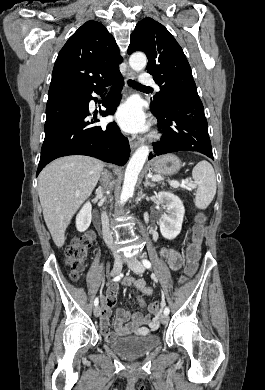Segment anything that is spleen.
Segmentation results:
<instances>
[{
	"label": "spleen",
	"instance_id": "1",
	"mask_svg": "<svg viewBox=\"0 0 265 390\" xmlns=\"http://www.w3.org/2000/svg\"><path fill=\"white\" fill-rule=\"evenodd\" d=\"M192 178L197 184L195 192V206L206 209L216 194V177L212 165L203 160L192 171Z\"/></svg>",
	"mask_w": 265,
	"mask_h": 390
}]
</instances>
